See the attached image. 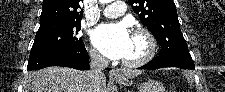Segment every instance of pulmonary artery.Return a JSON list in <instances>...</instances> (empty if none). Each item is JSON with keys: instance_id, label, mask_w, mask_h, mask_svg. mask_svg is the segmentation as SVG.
<instances>
[{"instance_id": "pulmonary-artery-1", "label": "pulmonary artery", "mask_w": 225, "mask_h": 92, "mask_svg": "<svg viewBox=\"0 0 225 92\" xmlns=\"http://www.w3.org/2000/svg\"><path fill=\"white\" fill-rule=\"evenodd\" d=\"M109 4L103 11L105 17L114 18L120 16L126 12V5L122 1H108Z\"/></svg>"}]
</instances>
